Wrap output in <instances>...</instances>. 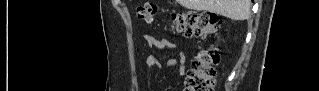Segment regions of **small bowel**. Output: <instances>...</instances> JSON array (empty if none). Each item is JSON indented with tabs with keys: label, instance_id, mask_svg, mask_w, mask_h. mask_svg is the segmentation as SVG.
Listing matches in <instances>:
<instances>
[{
	"label": "small bowel",
	"instance_id": "small-bowel-1",
	"mask_svg": "<svg viewBox=\"0 0 319 91\" xmlns=\"http://www.w3.org/2000/svg\"><path fill=\"white\" fill-rule=\"evenodd\" d=\"M145 41L151 48L156 49H175L177 44L175 41L168 38H157L153 35H145ZM186 57L184 53L178 52L173 57L168 58L165 62L167 66H177L179 75L183 76L186 73L185 66ZM144 65L147 68H160L161 63L154 55H147L144 58Z\"/></svg>",
	"mask_w": 319,
	"mask_h": 91
}]
</instances>
